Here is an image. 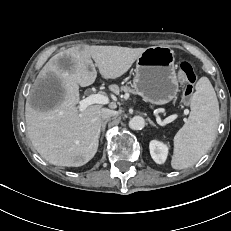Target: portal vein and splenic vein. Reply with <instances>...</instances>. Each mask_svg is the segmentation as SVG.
Returning <instances> with one entry per match:
<instances>
[{"label":"portal vein and splenic vein","instance_id":"18ae733b","mask_svg":"<svg viewBox=\"0 0 231 231\" xmlns=\"http://www.w3.org/2000/svg\"><path fill=\"white\" fill-rule=\"evenodd\" d=\"M109 102V99L106 95L97 93V94H91L88 97L80 100L78 102L79 106L78 109L80 112H83L88 106L93 105V104H107ZM178 116L177 115H171L165 120H161L159 117H157V122L158 124L164 126L173 120H175Z\"/></svg>","mask_w":231,"mask_h":231}]
</instances>
